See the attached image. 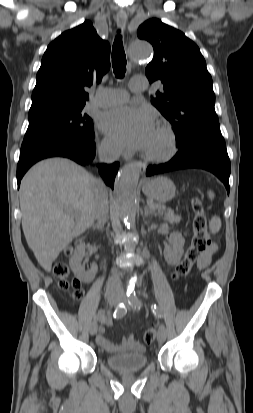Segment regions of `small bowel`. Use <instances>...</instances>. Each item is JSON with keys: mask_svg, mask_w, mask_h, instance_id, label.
I'll return each mask as SVG.
<instances>
[{"mask_svg": "<svg viewBox=\"0 0 253 413\" xmlns=\"http://www.w3.org/2000/svg\"><path fill=\"white\" fill-rule=\"evenodd\" d=\"M216 250H217L216 244L212 243L209 246V248L204 252L201 259L199 260V262H198V268L199 269H203V268L207 267L210 264L212 256L216 252ZM105 323L107 325L111 324L109 319H106ZM96 341L102 348H104L106 351L112 352V353L121 352V351H125V350L137 351V350L141 349V345L139 344V342L136 340L135 336L132 333L127 334L123 338V341H122L121 345H117L105 336V328L104 327H101L99 329V333L97 335Z\"/></svg>", "mask_w": 253, "mask_h": 413, "instance_id": "obj_1", "label": "small bowel"}]
</instances>
